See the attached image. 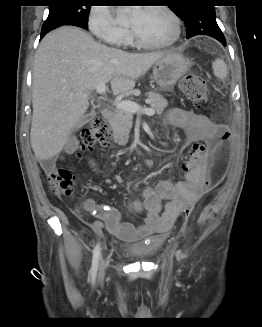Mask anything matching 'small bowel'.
I'll use <instances>...</instances> for the list:
<instances>
[{
	"label": "small bowel",
	"mask_w": 262,
	"mask_h": 327,
	"mask_svg": "<svg viewBox=\"0 0 262 327\" xmlns=\"http://www.w3.org/2000/svg\"><path fill=\"white\" fill-rule=\"evenodd\" d=\"M168 122L184 129L192 140L206 143L212 141V135H216L219 125L205 114L181 108L170 111ZM78 146L77 139L72 138L65 146L64 153L71 154ZM208 159V153H187L186 159H174L173 165L177 170H182L183 175H186L185 179L178 182L163 180L155 187H147L142 192V200L129 205V209L134 213L145 211L146 216L141 224L124 222L117 209L97 204L89 198L83 199L82 209L94 215L96 220L83 219V222L97 234L106 228L111 235L126 241L142 239L153 233L167 232L181 215L187 200H194L196 203L208 190L205 188V167L199 164V160ZM88 163L95 176L100 177L101 170L96 161L89 157ZM50 169L51 167H47V170ZM163 201H167L165 206Z\"/></svg>",
	"instance_id": "small-bowel-1"
}]
</instances>
